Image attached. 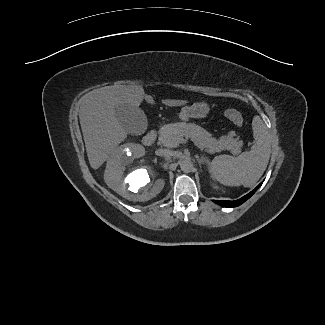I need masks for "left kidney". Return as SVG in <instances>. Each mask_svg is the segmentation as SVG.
<instances>
[{"label": "left kidney", "mask_w": 325, "mask_h": 325, "mask_svg": "<svg viewBox=\"0 0 325 325\" xmlns=\"http://www.w3.org/2000/svg\"><path fill=\"white\" fill-rule=\"evenodd\" d=\"M213 188H215V189H218V186H216V185H213Z\"/></svg>", "instance_id": "5707ae66"}]
</instances>
